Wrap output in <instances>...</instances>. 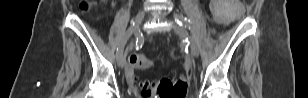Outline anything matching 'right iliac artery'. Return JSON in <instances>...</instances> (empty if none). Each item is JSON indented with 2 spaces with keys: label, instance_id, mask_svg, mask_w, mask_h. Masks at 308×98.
Segmentation results:
<instances>
[{
  "label": "right iliac artery",
  "instance_id": "obj_1",
  "mask_svg": "<svg viewBox=\"0 0 308 98\" xmlns=\"http://www.w3.org/2000/svg\"><path fill=\"white\" fill-rule=\"evenodd\" d=\"M131 34H132V28H129L121 38V41L117 47V54H121L123 52L125 44L127 43V40L129 39Z\"/></svg>",
  "mask_w": 308,
  "mask_h": 98
}]
</instances>
